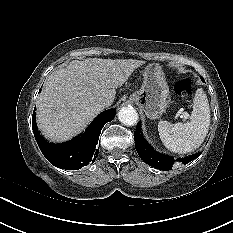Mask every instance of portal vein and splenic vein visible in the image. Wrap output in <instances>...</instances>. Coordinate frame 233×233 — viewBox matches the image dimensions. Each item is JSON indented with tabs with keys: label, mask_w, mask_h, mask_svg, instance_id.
Wrapping results in <instances>:
<instances>
[{
	"label": "portal vein and splenic vein",
	"mask_w": 233,
	"mask_h": 233,
	"mask_svg": "<svg viewBox=\"0 0 233 233\" xmlns=\"http://www.w3.org/2000/svg\"><path fill=\"white\" fill-rule=\"evenodd\" d=\"M182 114H183V118H184V119H187V118H188V113L184 112V113H182Z\"/></svg>",
	"instance_id": "1"
}]
</instances>
